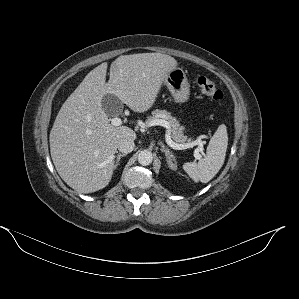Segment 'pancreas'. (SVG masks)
I'll list each match as a JSON object with an SVG mask.
<instances>
[{"mask_svg":"<svg viewBox=\"0 0 299 299\" xmlns=\"http://www.w3.org/2000/svg\"><path fill=\"white\" fill-rule=\"evenodd\" d=\"M159 118H162L169 123L171 137L176 143H185L186 141H189L187 136H185L183 133L184 127L180 126L178 120L172 117L171 113L167 112L166 110H154L152 112V116L148 117L146 123L151 124L154 120Z\"/></svg>","mask_w":299,"mask_h":299,"instance_id":"1","label":"pancreas"}]
</instances>
